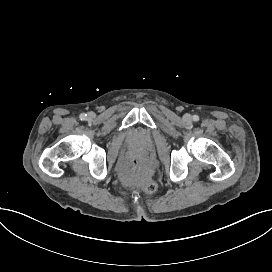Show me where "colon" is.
Here are the masks:
<instances>
[{
  "instance_id": "5ec220e1",
  "label": "colon",
  "mask_w": 272,
  "mask_h": 272,
  "mask_svg": "<svg viewBox=\"0 0 272 272\" xmlns=\"http://www.w3.org/2000/svg\"><path fill=\"white\" fill-rule=\"evenodd\" d=\"M144 167L143 160L138 156H133L123 167L125 171H128L130 173H136L139 170H141ZM148 192H155L157 189V186L153 183H150L147 187Z\"/></svg>"
}]
</instances>
